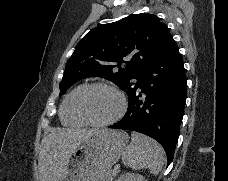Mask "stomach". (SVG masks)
<instances>
[{
  "label": "stomach",
  "mask_w": 228,
  "mask_h": 181,
  "mask_svg": "<svg viewBox=\"0 0 228 181\" xmlns=\"http://www.w3.org/2000/svg\"><path fill=\"white\" fill-rule=\"evenodd\" d=\"M128 139L124 131L108 129L88 135L71 153L62 181H109L111 167L123 155Z\"/></svg>",
  "instance_id": "obj_1"
}]
</instances>
